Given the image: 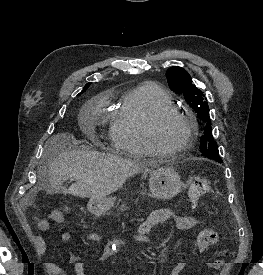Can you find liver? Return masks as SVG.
<instances>
[{
	"instance_id": "obj_1",
	"label": "liver",
	"mask_w": 263,
	"mask_h": 275,
	"mask_svg": "<svg viewBox=\"0 0 263 275\" xmlns=\"http://www.w3.org/2000/svg\"><path fill=\"white\" fill-rule=\"evenodd\" d=\"M74 136L61 133L46 143V152H54L46 170L50 192L77 197L102 198L120 189L127 179L140 172L146 162H134L112 154L74 149ZM73 178L69 188L63 183Z\"/></svg>"
}]
</instances>
